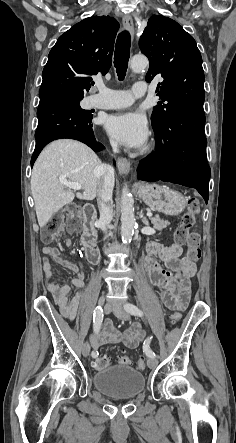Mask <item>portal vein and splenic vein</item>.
<instances>
[{
    "label": "portal vein and splenic vein",
    "instance_id": "obj_1",
    "mask_svg": "<svg viewBox=\"0 0 236 443\" xmlns=\"http://www.w3.org/2000/svg\"><path fill=\"white\" fill-rule=\"evenodd\" d=\"M60 182L65 185L67 188L69 189H73V190H81L82 189V185L76 182H71L66 180L65 178H60ZM147 216L148 217H152L153 214L151 212H147Z\"/></svg>",
    "mask_w": 236,
    "mask_h": 443
}]
</instances>
